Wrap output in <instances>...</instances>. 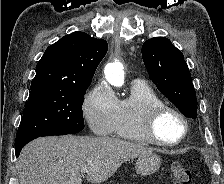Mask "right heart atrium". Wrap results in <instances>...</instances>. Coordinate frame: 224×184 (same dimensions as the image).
Instances as JSON below:
<instances>
[{
	"label": "right heart atrium",
	"mask_w": 224,
	"mask_h": 184,
	"mask_svg": "<svg viewBox=\"0 0 224 184\" xmlns=\"http://www.w3.org/2000/svg\"><path fill=\"white\" fill-rule=\"evenodd\" d=\"M117 97L105 82H99L85 96L83 115L90 129L97 135L112 132Z\"/></svg>",
	"instance_id": "right-heart-atrium-1"
}]
</instances>
